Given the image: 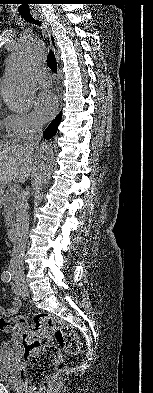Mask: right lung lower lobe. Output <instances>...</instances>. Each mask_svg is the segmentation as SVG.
<instances>
[{"instance_id":"obj_1","label":"right lung lower lobe","mask_w":153,"mask_h":393,"mask_svg":"<svg viewBox=\"0 0 153 393\" xmlns=\"http://www.w3.org/2000/svg\"><path fill=\"white\" fill-rule=\"evenodd\" d=\"M60 122H61V115H58L45 130L44 137L50 139L52 136H54L57 132V127L60 124Z\"/></svg>"}]
</instances>
